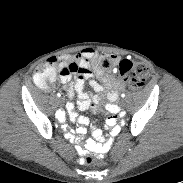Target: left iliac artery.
Wrapping results in <instances>:
<instances>
[{"instance_id": "left-iliac-artery-1", "label": "left iliac artery", "mask_w": 183, "mask_h": 183, "mask_svg": "<svg viewBox=\"0 0 183 183\" xmlns=\"http://www.w3.org/2000/svg\"><path fill=\"white\" fill-rule=\"evenodd\" d=\"M121 97L124 98V97H125V94L123 93V94L121 95Z\"/></svg>"}]
</instances>
